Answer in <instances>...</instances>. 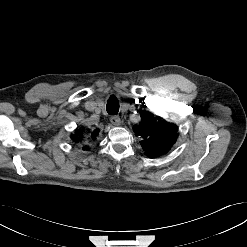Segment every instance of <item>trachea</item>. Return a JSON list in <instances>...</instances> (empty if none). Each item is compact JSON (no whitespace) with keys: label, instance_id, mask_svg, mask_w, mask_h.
I'll return each instance as SVG.
<instances>
[{"label":"trachea","instance_id":"3493384b","mask_svg":"<svg viewBox=\"0 0 247 247\" xmlns=\"http://www.w3.org/2000/svg\"><path fill=\"white\" fill-rule=\"evenodd\" d=\"M107 113L112 115V114H117L119 111V102L118 99L115 96H111L107 102L106 106Z\"/></svg>","mask_w":247,"mask_h":247}]
</instances>
